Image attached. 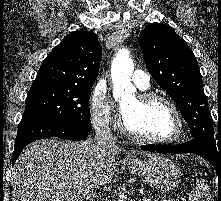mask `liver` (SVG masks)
<instances>
[{
  "instance_id": "1",
  "label": "liver",
  "mask_w": 221,
  "mask_h": 201,
  "mask_svg": "<svg viewBox=\"0 0 221 201\" xmlns=\"http://www.w3.org/2000/svg\"><path fill=\"white\" fill-rule=\"evenodd\" d=\"M120 151L105 146L99 157L94 140L33 142L15 163L12 201H83L96 185L111 182Z\"/></svg>"
}]
</instances>
